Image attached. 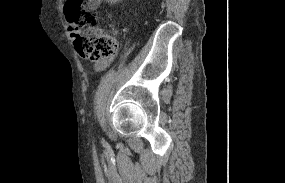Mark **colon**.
I'll return each instance as SVG.
<instances>
[{"mask_svg":"<svg viewBox=\"0 0 285 183\" xmlns=\"http://www.w3.org/2000/svg\"><path fill=\"white\" fill-rule=\"evenodd\" d=\"M84 0H67L64 14L76 51L91 61L99 62L117 54L115 32L99 28V17L84 8Z\"/></svg>","mask_w":285,"mask_h":183,"instance_id":"obj_1","label":"colon"}]
</instances>
